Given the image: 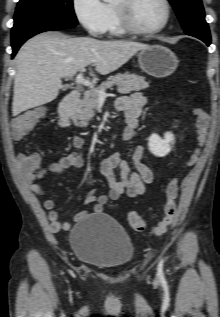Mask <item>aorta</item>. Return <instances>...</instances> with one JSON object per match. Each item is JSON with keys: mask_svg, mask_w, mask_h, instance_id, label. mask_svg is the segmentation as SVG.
Segmentation results:
<instances>
[{"mask_svg": "<svg viewBox=\"0 0 220 317\" xmlns=\"http://www.w3.org/2000/svg\"><path fill=\"white\" fill-rule=\"evenodd\" d=\"M114 0H104V2H113Z\"/></svg>", "mask_w": 220, "mask_h": 317, "instance_id": "obj_1", "label": "aorta"}]
</instances>
